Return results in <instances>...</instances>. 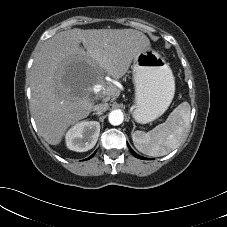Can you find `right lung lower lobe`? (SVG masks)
I'll list each match as a JSON object with an SVG mask.
<instances>
[{
  "label": "right lung lower lobe",
  "mask_w": 227,
  "mask_h": 227,
  "mask_svg": "<svg viewBox=\"0 0 227 227\" xmlns=\"http://www.w3.org/2000/svg\"><path fill=\"white\" fill-rule=\"evenodd\" d=\"M93 155H91L88 159H90Z\"/></svg>",
  "instance_id": "obj_1"
}]
</instances>
